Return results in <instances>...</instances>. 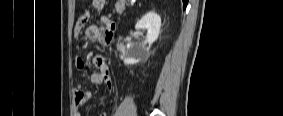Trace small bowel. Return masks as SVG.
Returning a JSON list of instances; mask_svg holds the SVG:
<instances>
[{
    "label": "small bowel",
    "mask_w": 283,
    "mask_h": 116,
    "mask_svg": "<svg viewBox=\"0 0 283 116\" xmlns=\"http://www.w3.org/2000/svg\"><path fill=\"white\" fill-rule=\"evenodd\" d=\"M105 3V0H96L95 6L100 8ZM87 15L80 17L77 21L74 36L78 37L86 25ZM115 29V24L107 17H102L99 25H90L86 28V37L90 41H97L104 44H109L112 40L113 31ZM75 65L78 69H83L86 67V61L82 57H77L75 60ZM92 67L94 71L90 74V80L94 84H105L109 91L112 90L114 86V80L110 76V71L105 63L102 55L97 54L92 60ZM91 92L76 88L73 90V104H74V115L80 116L81 109L88 103L91 99ZM107 112H100L99 116H106Z\"/></svg>",
    "instance_id": "c3829d8e"
}]
</instances>
